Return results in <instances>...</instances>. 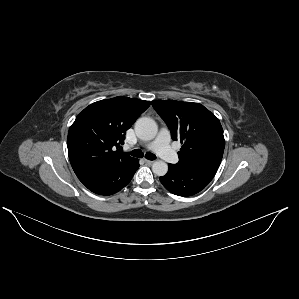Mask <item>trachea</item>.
<instances>
[{
    "mask_svg": "<svg viewBox=\"0 0 299 299\" xmlns=\"http://www.w3.org/2000/svg\"><path fill=\"white\" fill-rule=\"evenodd\" d=\"M130 155H132L134 157L141 158V157H143V152L140 149H136V150L131 151ZM145 158L149 159V160H154V159H156V156L153 153L148 152L145 154Z\"/></svg>",
    "mask_w": 299,
    "mask_h": 299,
    "instance_id": "1",
    "label": "trachea"
}]
</instances>
